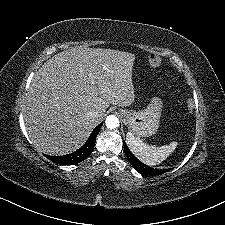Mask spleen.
I'll use <instances>...</instances> for the list:
<instances>
[{
	"mask_svg": "<svg viewBox=\"0 0 225 225\" xmlns=\"http://www.w3.org/2000/svg\"><path fill=\"white\" fill-rule=\"evenodd\" d=\"M126 143L135 157L148 166L158 165L163 162L177 146L176 142L161 147L149 145L135 137L131 132L126 135Z\"/></svg>",
	"mask_w": 225,
	"mask_h": 225,
	"instance_id": "spleen-1",
	"label": "spleen"
}]
</instances>
